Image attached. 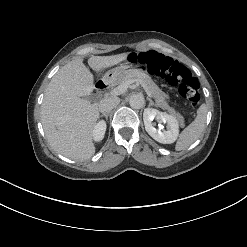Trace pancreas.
Here are the masks:
<instances>
[{"instance_id":"cf45deb5","label":"pancreas","mask_w":247,"mask_h":247,"mask_svg":"<svg viewBox=\"0 0 247 247\" xmlns=\"http://www.w3.org/2000/svg\"><path fill=\"white\" fill-rule=\"evenodd\" d=\"M129 80H134L139 82L141 85H145L150 91L151 96L155 99L156 105L163 110H166L180 122L181 126H184L183 116L168 105L166 100L168 96L152 81V79L147 74L129 72L123 76L119 84L122 85Z\"/></svg>"}]
</instances>
